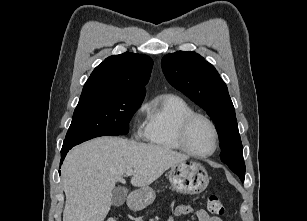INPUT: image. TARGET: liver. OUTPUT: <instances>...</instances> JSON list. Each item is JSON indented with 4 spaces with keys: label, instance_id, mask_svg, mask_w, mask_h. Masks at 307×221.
<instances>
[{
    "label": "liver",
    "instance_id": "6515ba94",
    "mask_svg": "<svg viewBox=\"0 0 307 221\" xmlns=\"http://www.w3.org/2000/svg\"><path fill=\"white\" fill-rule=\"evenodd\" d=\"M188 159L171 149L117 137H100L68 152L62 166L66 195L63 221H104L112 191L128 170L131 184L146 187L166 170Z\"/></svg>",
    "mask_w": 307,
    "mask_h": 221
}]
</instances>
